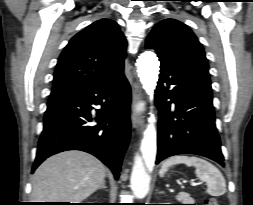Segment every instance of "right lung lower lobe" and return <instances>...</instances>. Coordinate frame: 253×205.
I'll return each instance as SVG.
<instances>
[{
  "mask_svg": "<svg viewBox=\"0 0 253 205\" xmlns=\"http://www.w3.org/2000/svg\"><path fill=\"white\" fill-rule=\"evenodd\" d=\"M131 91L124 75L51 96L32 172L49 156L65 150L88 152L119 178L130 139ZM101 105V109L92 110Z\"/></svg>",
  "mask_w": 253,
  "mask_h": 205,
  "instance_id": "98d812e1",
  "label": "right lung lower lobe"
}]
</instances>
